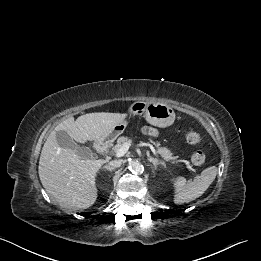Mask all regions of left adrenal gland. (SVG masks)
Masks as SVG:
<instances>
[{
    "label": "left adrenal gland",
    "instance_id": "1",
    "mask_svg": "<svg viewBox=\"0 0 261 261\" xmlns=\"http://www.w3.org/2000/svg\"><path fill=\"white\" fill-rule=\"evenodd\" d=\"M148 161L151 162V163L154 165V168H155V169H157V166H158V165H163V166H165V165H164V162L161 161V160H159V159H157V158L150 157V158L148 159Z\"/></svg>",
    "mask_w": 261,
    "mask_h": 261
}]
</instances>
